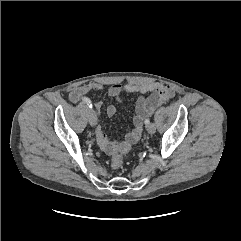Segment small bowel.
I'll use <instances>...</instances> for the list:
<instances>
[{
    "instance_id": "c3829d8e",
    "label": "small bowel",
    "mask_w": 241,
    "mask_h": 241,
    "mask_svg": "<svg viewBox=\"0 0 241 241\" xmlns=\"http://www.w3.org/2000/svg\"><path fill=\"white\" fill-rule=\"evenodd\" d=\"M104 89L102 84L90 83L82 86L75 87L69 93V99L73 103L83 100L84 96L90 91H102ZM109 96L116 98L119 103H122L121 94L123 93H139L141 96L136 103V112L133 117V128L126 134L125 138L121 142L111 141L106 135L101 125H98L95 129V136L100 148L108 155L121 151L125 146H131L135 144L140 136L143 127L144 119L149 116L156 107L162 103L168 101L174 96V90L167 85L161 83H149L142 85L135 84H115L107 89ZM150 93L149 97L143 95ZM102 103L96 102L95 108L99 112L101 110ZM117 112L115 105L110 104L106 108L108 116H114Z\"/></svg>"
}]
</instances>
